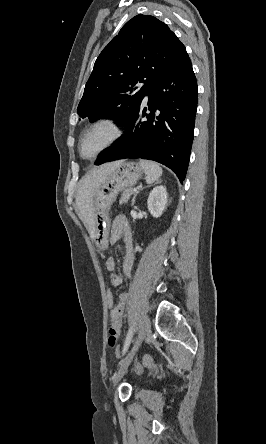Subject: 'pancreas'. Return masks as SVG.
<instances>
[{"label":"pancreas","mask_w":266,"mask_h":444,"mask_svg":"<svg viewBox=\"0 0 266 444\" xmlns=\"http://www.w3.org/2000/svg\"><path fill=\"white\" fill-rule=\"evenodd\" d=\"M132 194H134L133 189H131V188L125 189L123 191L122 196H121L120 201H119L120 205L123 204V203H127L128 200L130 199V196Z\"/></svg>","instance_id":"1"}]
</instances>
